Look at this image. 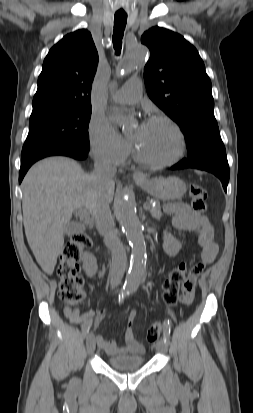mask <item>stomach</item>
<instances>
[{
  "mask_svg": "<svg viewBox=\"0 0 253 413\" xmlns=\"http://www.w3.org/2000/svg\"><path fill=\"white\" fill-rule=\"evenodd\" d=\"M138 185L148 194L163 201H171L181 198L186 192V184L178 177H156L143 182L138 181Z\"/></svg>",
  "mask_w": 253,
  "mask_h": 413,
  "instance_id": "stomach-1",
  "label": "stomach"
}]
</instances>
